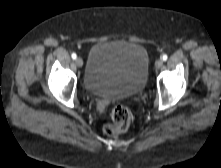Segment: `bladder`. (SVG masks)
<instances>
[{
  "label": "bladder",
  "instance_id": "1",
  "mask_svg": "<svg viewBox=\"0 0 221 168\" xmlns=\"http://www.w3.org/2000/svg\"><path fill=\"white\" fill-rule=\"evenodd\" d=\"M148 71L149 56L142 45L126 41L101 42L89 52L84 85L95 95L129 97L145 88Z\"/></svg>",
  "mask_w": 221,
  "mask_h": 168
}]
</instances>
